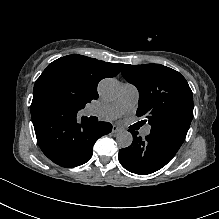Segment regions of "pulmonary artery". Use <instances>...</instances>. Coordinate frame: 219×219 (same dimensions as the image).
Instances as JSON below:
<instances>
[{
    "label": "pulmonary artery",
    "mask_w": 219,
    "mask_h": 219,
    "mask_svg": "<svg viewBox=\"0 0 219 219\" xmlns=\"http://www.w3.org/2000/svg\"><path fill=\"white\" fill-rule=\"evenodd\" d=\"M138 98L139 92L137 87L131 83H124L122 85L121 94L114 104L102 108H87L84 111V114L87 116H95L104 122H110L119 118L126 111L135 107L138 102ZM149 133L150 126H146L143 129V134L148 135Z\"/></svg>",
    "instance_id": "obj_1"
}]
</instances>
